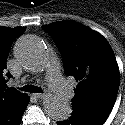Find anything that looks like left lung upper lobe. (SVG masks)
I'll return each instance as SVG.
<instances>
[{"label":"left lung upper lobe","mask_w":125,"mask_h":125,"mask_svg":"<svg viewBox=\"0 0 125 125\" xmlns=\"http://www.w3.org/2000/svg\"><path fill=\"white\" fill-rule=\"evenodd\" d=\"M57 43L67 76L78 82L73 112L106 120L115 103L120 75L112 48L98 32L74 21L42 26Z\"/></svg>","instance_id":"left-lung-upper-lobe-1"}]
</instances>
